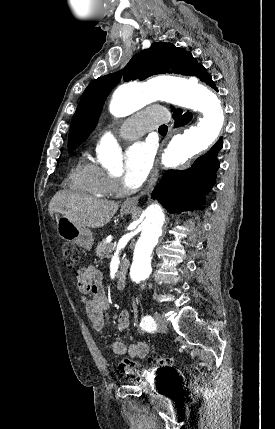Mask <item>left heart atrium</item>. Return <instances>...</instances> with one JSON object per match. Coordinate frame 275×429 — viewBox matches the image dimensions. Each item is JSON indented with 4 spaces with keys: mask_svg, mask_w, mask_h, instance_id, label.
Here are the masks:
<instances>
[{
    "mask_svg": "<svg viewBox=\"0 0 275 429\" xmlns=\"http://www.w3.org/2000/svg\"><path fill=\"white\" fill-rule=\"evenodd\" d=\"M155 154V146L148 141L132 144L125 157L124 184L132 189L138 188L147 177Z\"/></svg>",
    "mask_w": 275,
    "mask_h": 429,
    "instance_id": "39dd6f15",
    "label": "left heart atrium"
}]
</instances>
